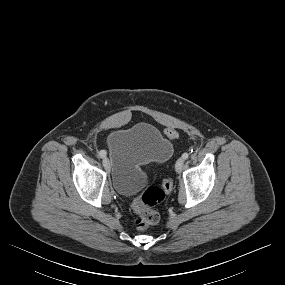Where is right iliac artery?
<instances>
[{"label":"right iliac artery","mask_w":285,"mask_h":285,"mask_svg":"<svg viewBox=\"0 0 285 285\" xmlns=\"http://www.w3.org/2000/svg\"><path fill=\"white\" fill-rule=\"evenodd\" d=\"M98 154H99V157H100V158H103V157L106 156V152H105L104 150H100V151L98 152Z\"/></svg>","instance_id":"1"}]
</instances>
